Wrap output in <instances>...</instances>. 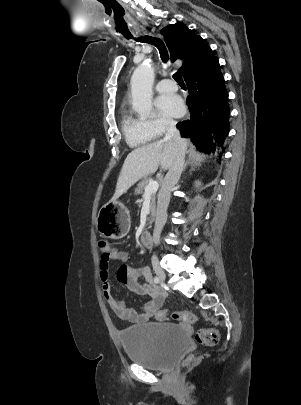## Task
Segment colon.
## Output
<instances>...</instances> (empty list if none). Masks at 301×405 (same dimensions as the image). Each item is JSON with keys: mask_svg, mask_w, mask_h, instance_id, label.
<instances>
[{"mask_svg": "<svg viewBox=\"0 0 301 405\" xmlns=\"http://www.w3.org/2000/svg\"><path fill=\"white\" fill-rule=\"evenodd\" d=\"M99 248L102 253V256L107 257L110 252V246L107 241L101 240L99 242ZM168 317H171L174 320L180 321L182 323L191 325L197 321V318L194 314L187 311H173L169 312L167 309H161L156 313V319L159 321H164ZM196 341L205 346H214L219 340V334L214 329H200L196 333ZM194 361V356L189 355L183 360V367L189 368Z\"/></svg>", "mask_w": 301, "mask_h": 405, "instance_id": "5ec220e1", "label": "colon"}]
</instances>
